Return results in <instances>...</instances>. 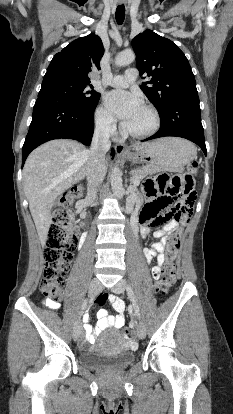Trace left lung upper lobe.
<instances>
[{
	"instance_id": "5c2ea615",
	"label": "left lung upper lobe",
	"mask_w": 233,
	"mask_h": 414,
	"mask_svg": "<svg viewBox=\"0 0 233 414\" xmlns=\"http://www.w3.org/2000/svg\"><path fill=\"white\" fill-rule=\"evenodd\" d=\"M132 46L140 75L151 77L140 88L159 114L176 98L198 95L190 64L172 41L146 30L133 39Z\"/></svg>"
}]
</instances>
